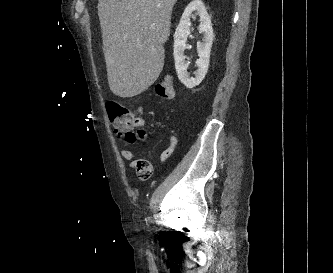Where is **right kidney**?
I'll list each match as a JSON object with an SVG mask.
<instances>
[{
	"instance_id": "obj_1",
	"label": "right kidney",
	"mask_w": 333,
	"mask_h": 273,
	"mask_svg": "<svg viewBox=\"0 0 333 273\" xmlns=\"http://www.w3.org/2000/svg\"><path fill=\"white\" fill-rule=\"evenodd\" d=\"M195 12V13H194ZM198 15L200 17L199 32L203 33L204 41L197 43V52L199 59L196 61L198 70L195 72V77H190L187 72L188 63L184 51L187 48L186 41L190 35V19H194ZM214 34L211 24V19L206 11V8L201 0H193L185 8L180 22L174 33V60L175 69L179 80L187 88L192 89L199 85L205 78L209 67V58Z\"/></svg>"
}]
</instances>
